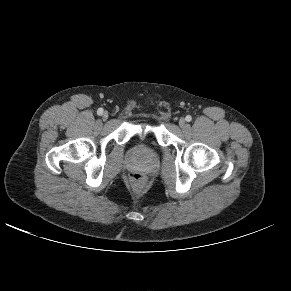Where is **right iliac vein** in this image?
Returning <instances> with one entry per match:
<instances>
[{"instance_id": "right-iliac-vein-1", "label": "right iliac vein", "mask_w": 291, "mask_h": 291, "mask_svg": "<svg viewBox=\"0 0 291 291\" xmlns=\"http://www.w3.org/2000/svg\"><path fill=\"white\" fill-rule=\"evenodd\" d=\"M102 118H103V120H107V118H108V112H103L102 113Z\"/></svg>"}]
</instances>
